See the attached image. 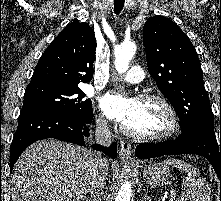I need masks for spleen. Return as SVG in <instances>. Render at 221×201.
<instances>
[{
  "label": "spleen",
  "instance_id": "1",
  "mask_svg": "<svg viewBox=\"0 0 221 201\" xmlns=\"http://www.w3.org/2000/svg\"><path fill=\"white\" fill-rule=\"evenodd\" d=\"M164 164L174 166L187 174L186 180L182 183V192L178 201H211V190L200 172L191 164L185 161L169 158Z\"/></svg>",
  "mask_w": 221,
  "mask_h": 201
}]
</instances>
